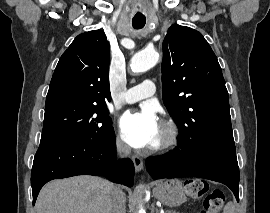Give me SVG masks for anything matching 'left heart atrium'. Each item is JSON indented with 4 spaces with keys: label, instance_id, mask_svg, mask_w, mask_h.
I'll return each instance as SVG.
<instances>
[{
    "label": "left heart atrium",
    "instance_id": "left-heart-atrium-1",
    "mask_svg": "<svg viewBox=\"0 0 270 213\" xmlns=\"http://www.w3.org/2000/svg\"><path fill=\"white\" fill-rule=\"evenodd\" d=\"M119 125L123 141L136 149L153 146L161 129L156 111L150 106L125 113Z\"/></svg>",
    "mask_w": 270,
    "mask_h": 213
}]
</instances>
